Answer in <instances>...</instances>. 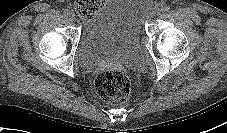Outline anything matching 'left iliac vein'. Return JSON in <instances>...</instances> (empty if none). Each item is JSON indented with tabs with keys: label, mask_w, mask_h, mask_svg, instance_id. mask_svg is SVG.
<instances>
[{
	"label": "left iliac vein",
	"mask_w": 227,
	"mask_h": 133,
	"mask_svg": "<svg viewBox=\"0 0 227 133\" xmlns=\"http://www.w3.org/2000/svg\"><path fill=\"white\" fill-rule=\"evenodd\" d=\"M160 13H161V10L159 9V8H155L154 10H153V14L154 15H160Z\"/></svg>",
	"instance_id": "4c4485c4"
}]
</instances>
